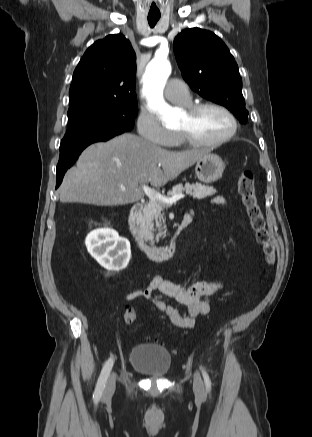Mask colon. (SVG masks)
<instances>
[{
    "mask_svg": "<svg viewBox=\"0 0 312 437\" xmlns=\"http://www.w3.org/2000/svg\"><path fill=\"white\" fill-rule=\"evenodd\" d=\"M237 184L242 204L255 234L256 241L263 249L266 263L271 266L275 262V249L258 203L253 173L249 170H242L238 176ZM136 318L137 315L133 308H128L125 311L124 321L126 324H133Z\"/></svg>",
    "mask_w": 312,
    "mask_h": 437,
    "instance_id": "obj_1",
    "label": "colon"
}]
</instances>
